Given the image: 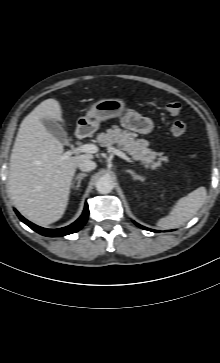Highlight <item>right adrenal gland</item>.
Instances as JSON below:
<instances>
[{"label":"right adrenal gland","mask_w":220,"mask_h":363,"mask_svg":"<svg viewBox=\"0 0 220 363\" xmlns=\"http://www.w3.org/2000/svg\"><path fill=\"white\" fill-rule=\"evenodd\" d=\"M86 176H87V174H85V173H80V174H78V175L75 177V179H74V181H73V183H75V182L77 181V185H76V186H74V189H75V190H78V189H79L82 179H83L84 177H86Z\"/></svg>","instance_id":"obj_1"}]
</instances>
